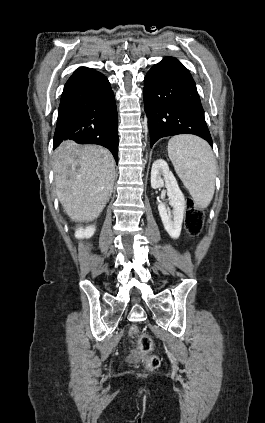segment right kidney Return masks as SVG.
I'll return each instance as SVG.
<instances>
[{"instance_id":"obj_1","label":"right kidney","mask_w":265,"mask_h":423,"mask_svg":"<svg viewBox=\"0 0 265 423\" xmlns=\"http://www.w3.org/2000/svg\"><path fill=\"white\" fill-rule=\"evenodd\" d=\"M95 231H96V229H95L94 226H89L85 229L80 228V229L76 230L75 237L78 238V239L90 238L94 235Z\"/></svg>"}]
</instances>
